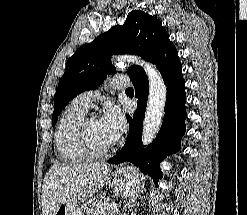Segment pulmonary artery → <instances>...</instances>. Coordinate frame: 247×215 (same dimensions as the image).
Listing matches in <instances>:
<instances>
[{"instance_id": "1", "label": "pulmonary artery", "mask_w": 247, "mask_h": 215, "mask_svg": "<svg viewBox=\"0 0 247 215\" xmlns=\"http://www.w3.org/2000/svg\"><path fill=\"white\" fill-rule=\"evenodd\" d=\"M130 85V80L127 76L116 75L110 81V86L114 89H124ZM100 92L98 90L85 91L80 93L74 99V102L81 108L87 110L90 103L99 96Z\"/></svg>"}]
</instances>
